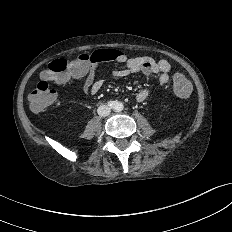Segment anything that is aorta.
Returning <instances> with one entry per match:
<instances>
[{"label": "aorta", "mask_w": 232, "mask_h": 232, "mask_svg": "<svg viewBox=\"0 0 232 232\" xmlns=\"http://www.w3.org/2000/svg\"><path fill=\"white\" fill-rule=\"evenodd\" d=\"M123 104L121 102H117L115 105V110L116 111H122L123 110Z\"/></svg>", "instance_id": "762f6f07"}]
</instances>
